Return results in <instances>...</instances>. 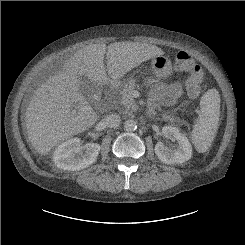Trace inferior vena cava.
<instances>
[{"instance_id":"1","label":"inferior vena cava","mask_w":245,"mask_h":245,"mask_svg":"<svg viewBox=\"0 0 245 245\" xmlns=\"http://www.w3.org/2000/svg\"><path fill=\"white\" fill-rule=\"evenodd\" d=\"M105 122L109 128H116L120 125L121 119L119 115L111 114L105 117Z\"/></svg>"}]
</instances>
